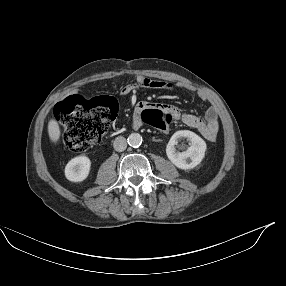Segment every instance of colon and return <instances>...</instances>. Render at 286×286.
Masks as SVG:
<instances>
[{"label":"colon","instance_id":"obj_1","mask_svg":"<svg viewBox=\"0 0 286 286\" xmlns=\"http://www.w3.org/2000/svg\"><path fill=\"white\" fill-rule=\"evenodd\" d=\"M117 110V100L112 96L103 95L87 100L71 95L56 104L54 113L63 127L66 147L81 152L101 140ZM143 123L150 130L167 132L173 125V118L166 111L154 109L144 114Z\"/></svg>","mask_w":286,"mask_h":286}]
</instances>
